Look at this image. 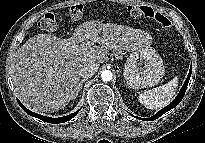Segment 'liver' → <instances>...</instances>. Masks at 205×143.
I'll use <instances>...</instances> for the list:
<instances>
[{"label": "liver", "mask_w": 205, "mask_h": 143, "mask_svg": "<svg viewBox=\"0 0 205 143\" xmlns=\"http://www.w3.org/2000/svg\"><path fill=\"white\" fill-rule=\"evenodd\" d=\"M88 40L92 45H87ZM151 43L152 37L145 31L96 20L79 25L68 39L35 35L11 60L14 91L35 112L58 111L73 99L81 69L87 64L108 61L112 49L130 52Z\"/></svg>", "instance_id": "6515ba94"}]
</instances>
